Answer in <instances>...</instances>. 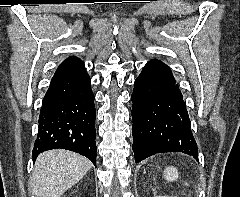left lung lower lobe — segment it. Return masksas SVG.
<instances>
[{
	"label": "left lung lower lobe",
	"mask_w": 240,
	"mask_h": 197,
	"mask_svg": "<svg viewBox=\"0 0 240 197\" xmlns=\"http://www.w3.org/2000/svg\"><path fill=\"white\" fill-rule=\"evenodd\" d=\"M135 162L156 153L182 152L198 160L181 91L170 68L144 67L132 94Z\"/></svg>",
	"instance_id": "0a47b994"
}]
</instances>
